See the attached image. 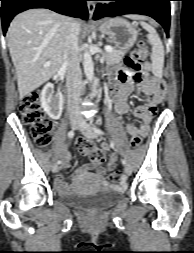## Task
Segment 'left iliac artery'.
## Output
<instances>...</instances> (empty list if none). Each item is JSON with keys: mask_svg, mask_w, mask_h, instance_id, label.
I'll list each match as a JSON object with an SVG mask.
<instances>
[{"mask_svg": "<svg viewBox=\"0 0 194 253\" xmlns=\"http://www.w3.org/2000/svg\"><path fill=\"white\" fill-rule=\"evenodd\" d=\"M93 128H94L95 132H96L98 135H103V134H104V132H103L101 129L96 128V127H93ZM122 164H123V165H126V160H125V159H122Z\"/></svg>", "mask_w": 194, "mask_h": 253, "instance_id": "obj_1", "label": "left iliac artery"}]
</instances>
